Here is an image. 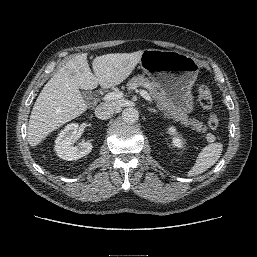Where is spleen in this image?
<instances>
[{
	"label": "spleen",
	"mask_w": 257,
	"mask_h": 257,
	"mask_svg": "<svg viewBox=\"0 0 257 257\" xmlns=\"http://www.w3.org/2000/svg\"><path fill=\"white\" fill-rule=\"evenodd\" d=\"M222 151V143H212L205 146L198 154L196 162L187 173V176L193 177L205 172L218 161Z\"/></svg>",
	"instance_id": "3e777b00"
}]
</instances>
